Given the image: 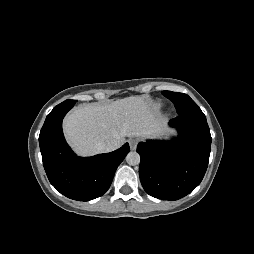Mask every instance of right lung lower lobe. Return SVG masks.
Returning <instances> with one entry per match:
<instances>
[{"label":"right lung lower lobe","mask_w":254,"mask_h":254,"mask_svg":"<svg viewBox=\"0 0 254 254\" xmlns=\"http://www.w3.org/2000/svg\"><path fill=\"white\" fill-rule=\"evenodd\" d=\"M75 103L66 100L53 108L40 131L39 145L50 183L70 199L89 201L109 189L117 167L130 149L126 143L110 153L89 158L76 156L62 132V120Z\"/></svg>","instance_id":"right-lung-lower-lobe-1"}]
</instances>
